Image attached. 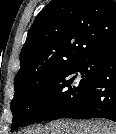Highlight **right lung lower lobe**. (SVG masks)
I'll return each instance as SVG.
<instances>
[{
	"label": "right lung lower lobe",
	"instance_id": "right-lung-lower-lobe-1",
	"mask_svg": "<svg viewBox=\"0 0 116 134\" xmlns=\"http://www.w3.org/2000/svg\"><path fill=\"white\" fill-rule=\"evenodd\" d=\"M97 73L81 98L56 118H106L116 122V47L99 55Z\"/></svg>",
	"mask_w": 116,
	"mask_h": 134
}]
</instances>
